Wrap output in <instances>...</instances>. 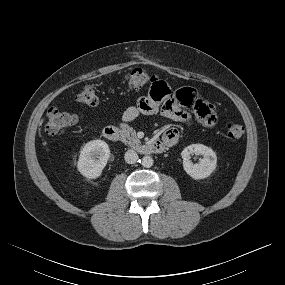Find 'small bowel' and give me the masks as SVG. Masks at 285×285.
Instances as JSON below:
<instances>
[{
    "instance_id": "c3829d8e",
    "label": "small bowel",
    "mask_w": 285,
    "mask_h": 285,
    "mask_svg": "<svg viewBox=\"0 0 285 285\" xmlns=\"http://www.w3.org/2000/svg\"><path fill=\"white\" fill-rule=\"evenodd\" d=\"M185 108H191L197 121L205 127H213L217 123L214 105L203 99L194 88L183 87L176 91L166 80L155 78L148 85L147 96L140 97L135 105L129 106L123 112L121 121L128 123L140 115L161 111L174 121L190 123L192 116ZM178 138V130L170 128L163 134L162 141L170 147L176 144Z\"/></svg>"
}]
</instances>
